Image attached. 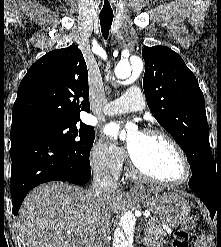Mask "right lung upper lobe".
Instances as JSON below:
<instances>
[{"instance_id": "right-lung-upper-lobe-1", "label": "right lung upper lobe", "mask_w": 221, "mask_h": 247, "mask_svg": "<svg viewBox=\"0 0 221 247\" xmlns=\"http://www.w3.org/2000/svg\"><path fill=\"white\" fill-rule=\"evenodd\" d=\"M80 110L90 112L88 70L82 52L71 45L47 53L30 67L18 88L11 131L79 121Z\"/></svg>"}]
</instances>
